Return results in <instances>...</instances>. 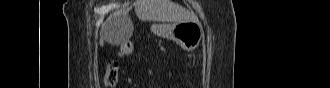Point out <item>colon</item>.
Masks as SVG:
<instances>
[{
  "mask_svg": "<svg viewBox=\"0 0 330 88\" xmlns=\"http://www.w3.org/2000/svg\"><path fill=\"white\" fill-rule=\"evenodd\" d=\"M123 47L129 51L133 49V43L126 41L123 43ZM118 80V67L116 64H110L103 76V83L106 87H114Z\"/></svg>",
  "mask_w": 330,
  "mask_h": 88,
  "instance_id": "obj_1",
  "label": "colon"
}]
</instances>
